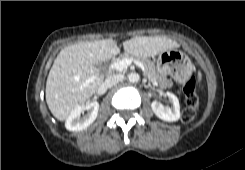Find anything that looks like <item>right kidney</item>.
<instances>
[{
    "label": "right kidney",
    "instance_id": "obj_1",
    "mask_svg": "<svg viewBox=\"0 0 245 170\" xmlns=\"http://www.w3.org/2000/svg\"><path fill=\"white\" fill-rule=\"evenodd\" d=\"M98 110L99 103L96 101L77 106L66 119V129L69 131L86 129L95 121ZM84 111H87V114L81 116Z\"/></svg>",
    "mask_w": 245,
    "mask_h": 170
}]
</instances>
